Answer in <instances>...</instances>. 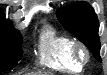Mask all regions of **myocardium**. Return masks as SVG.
<instances>
[{
  "label": "myocardium",
  "instance_id": "obj_1",
  "mask_svg": "<svg viewBox=\"0 0 107 75\" xmlns=\"http://www.w3.org/2000/svg\"><path fill=\"white\" fill-rule=\"evenodd\" d=\"M72 55L80 65L86 64L90 59L88 48L83 43L77 41L73 44Z\"/></svg>",
  "mask_w": 107,
  "mask_h": 75
}]
</instances>
